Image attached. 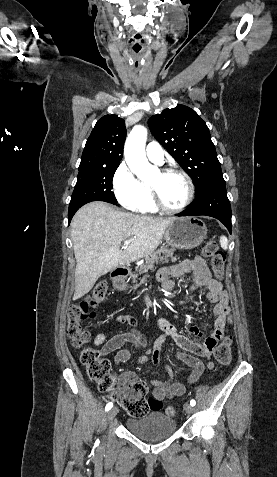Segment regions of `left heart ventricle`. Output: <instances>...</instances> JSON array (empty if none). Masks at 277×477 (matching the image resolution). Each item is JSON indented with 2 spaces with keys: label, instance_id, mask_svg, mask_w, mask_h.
I'll list each match as a JSON object with an SVG mask.
<instances>
[{
  "label": "left heart ventricle",
  "instance_id": "obj_1",
  "mask_svg": "<svg viewBox=\"0 0 277 477\" xmlns=\"http://www.w3.org/2000/svg\"><path fill=\"white\" fill-rule=\"evenodd\" d=\"M159 192L162 201L168 207L180 206L187 196V185L185 180L176 174L162 175L157 172L150 181Z\"/></svg>",
  "mask_w": 277,
  "mask_h": 477
}]
</instances>
